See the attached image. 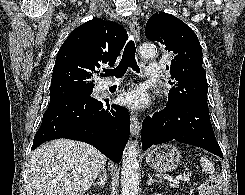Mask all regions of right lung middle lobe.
Listing matches in <instances>:
<instances>
[{
    "instance_id": "obj_1",
    "label": "right lung middle lobe",
    "mask_w": 245,
    "mask_h": 195,
    "mask_svg": "<svg viewBox=\"0 0 245 195\" xmlns=\"http://www.w3.org/2000/svg\"><path fill=\"white\" fill-rule=\"evenodd\" d=\"M93 88H76L61 91L58 93L50 94V102L60 100V99H71V98H78V97H85L89 96L92 93Z\"/></svg>"
}]
</instances>
